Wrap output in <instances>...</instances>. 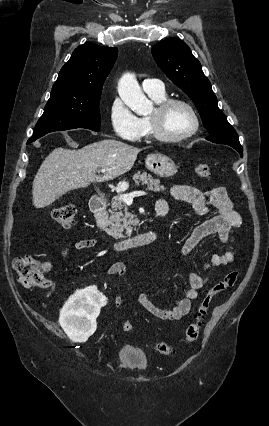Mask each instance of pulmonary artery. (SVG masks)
Listing matches in <instances>:
<instances>
[{
  "label": "pulmonary artery",
  "instance_id": "obj_1",
  "mask_svg": "<svg viewBox=\"0 0 269 426\" xmlns=\"http://www.w3.org/2000/svg\"><path fill=\"white\" fill-rule=\"evenodd\" d=\"M142 88L148 95H163L165 94L164 85L157 79H145L142 82Z\"/></svg>",
  "mask_w": 269,
  "mask_h": 426
}]
</instances>
